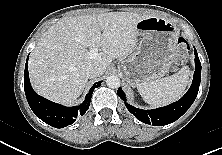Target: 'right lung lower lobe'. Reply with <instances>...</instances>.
<instances>
[{
    "label": "right lung lower lobe",
    "instance_id": "obj_1",
    "mask_svg": "<svg viewBox=\"0 0 222 155\" xmlns=\"http://www.w3.org/2000/svg\"><path fill=\"white\" fill-rule=\"evenodd\" d=\"M100 85L101 82H97L91 87L82 104L74 107H65L39 96L33 90L28 75V60L26 62L24 71V90L27 101L37 117L56 128H63L71 125L78 115H84L89 108L94 89Z\"/></svg>",
    "mask_w": 222,
    "mask_h": 155
}]
</instances>
